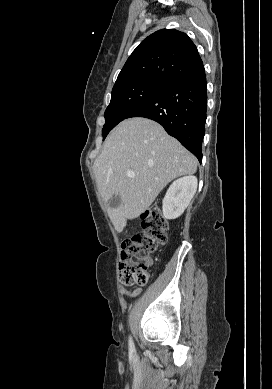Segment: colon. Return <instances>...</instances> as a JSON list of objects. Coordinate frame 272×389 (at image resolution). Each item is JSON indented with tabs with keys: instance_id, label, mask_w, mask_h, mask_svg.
<instances>
[{
	"instance_id": "1",
	"label": "colon",
	"mask_w": 272,
	"mask_h": 389,
	"mask_svg": "<svg viewBox=\"0 0 272 389\" xmlns=\"http://www.w3.org/2000/svg\"><path fill=\"white\" fill-rule=\"evenodd\" d=\"M141 220L143 231L122 243L119 279L125 286L147 284L148 256L167 240L168 224L157 206L148 208Z\"/></svg>"
}]
</instances>
